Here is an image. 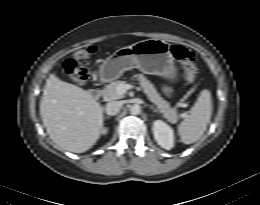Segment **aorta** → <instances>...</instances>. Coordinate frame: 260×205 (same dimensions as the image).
<instances>
[{
  "instance_id": "aorta-1",
  "label": "aorta",
  "mask_w": 260,
  "mask_h": 205,
  "mask_svg": "<svg viewBox=\"0 0 260 205\" xmlns=\"http://www.w3.org/2000/svg\"><path fill=\"white\" fill-rule=\"evenodd\" d=\"M141 112V107L138 104H134L130 107V113L132 115H138Z\"/></svg>"
}]
</instances>
